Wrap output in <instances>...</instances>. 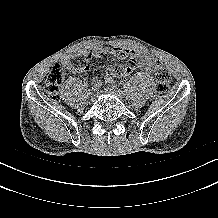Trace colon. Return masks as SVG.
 <instances>
[{
    "instance_id": "5ec220e1",
    "label": "colon",
    "mask_w": 218,
    "mask_h": 218,
    "mask_svg": "<svg viewBox=\"0 0 218 218\" xmlns=\"http://www.w3.org/2000/svg\"><path fill=\"white\" fill-rule=\"evenodd\" d=\"M66 68L61 64H56L49 73L44 90L46 94L53 100L59 98V88L64 80ZM155 78H156V96L160 97L165 94L170 87L171 76L168 69L160 62H155ZM124 73V66L115 64L107 69V76L120 77Z\"/></svg>"
}]
</instances>
